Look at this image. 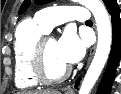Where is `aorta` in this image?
I'll list each match as a JSON object with an SVG mask.
<instances>
[{
	"label": "aorta",
	"instance_id": "1",
	"mask_svg": "<svg viewBox=\"0 0 121 94\" xmlns=\"http://www.w3.org/2000/svg\"><path fill=\"white\" fill-rule=\"evenodd\" d=\"M77 1L92 12L98 31L96 53L79 90V94H89L108 59L112 43V28L108 12L101 0Z\"/></svg>",
	"mask_w": 121,
	"mask_h": 94
}]
</instances>
